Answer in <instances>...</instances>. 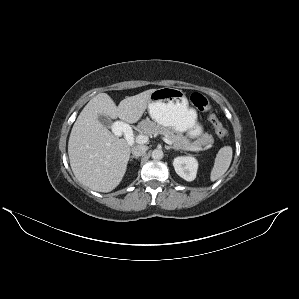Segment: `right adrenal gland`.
<instances>
[{
	"label": "right adrenal gland",
	"mask_w": 299,
	"mask_h": 299,
	"mask_svg": "<svg viewBox=\"0 0 299 299\" xmlns=\"http://www.w3.org/2000/svg\"><path fill=\"white\" fill-rule=\"evenodd\" d=\"M134 158L138 159L139 157L138 156H131V160L134 159Z\"/></svg>",
	"instance_id": "right-adrenal-gland-1"
}]
</instances>
